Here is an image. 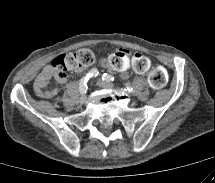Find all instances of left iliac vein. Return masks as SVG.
<instances>
[{"mask_svg":"<svg viewBox=\"0 0 215 183\" xmlns=\"http://www.w3.org/2000/svg\"><path fill=\"white\" fill-rule=\"evenodd\" d=\"M98 86L102 87V88H107V89H115V85L107 82V81H102V80H98L97 81Z\"/></svg>","mask_w":215,"mask_h":183,"instance_id":"4c4485c4","label":"left iliac vein"}]
</instances>
